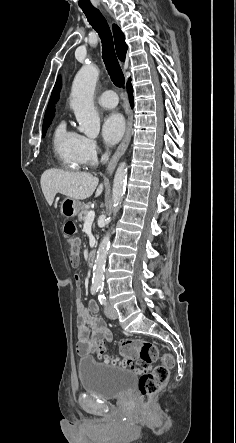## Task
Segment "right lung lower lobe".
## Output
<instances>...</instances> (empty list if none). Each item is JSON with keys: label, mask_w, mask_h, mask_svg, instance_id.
Here are the masks:
<instances>
[{"label": "right lung lower lobe", "mask_w": 236, "mask_h": 443, "mask_svg": "<svg viewBox=\"0 0 236 443\" xmlns=\"http://www.w3.org/2000/svg\"><path fill=\"white\" fill-rule=\"evenodd\" d=\"M127 89H128L129 96H130L131 106H133V89H132V85H131V80L130 79L127 82Z\"/></svg>", "instance_id": "obj_1"}]
</instances>
